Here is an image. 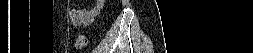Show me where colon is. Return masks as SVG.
Returning <instances> with one entry per match:
<instances>
[{"mask_svg":"<svg viewBox=\"0 0 253 53\" xmlns=\"http://www.w3.org/2000/svg\"><path fill=\"white\" fill-rule=\"evenodd\" d=\"M88 40L84 35H79L75 41V48L81 50L87 46Z\"/></svg>","mask_w":253,"mask_h":53,"instance_id":"5ec220e1","label":"colon"}]
</instances>
